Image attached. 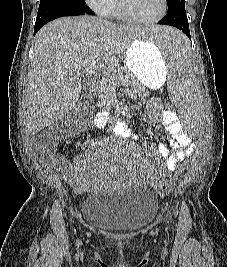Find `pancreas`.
Masks as SVG:
<instances>
[{"instance_id":"obj_1","label":"pancreas","mask_w":227,"mask_h":267,"mask_svg":"<svg viewBox=\"0 0 227 267\" xmlns=\"http://www.w3.org/2000/svg\"><path fill=\"white\" fill-rule=\"evenodd\" d=\"M118 84H124L126 86H138L141 85L137 82L135 77L127 69H115L109 72L99 81L98 92V106L109 104L111 93Z\"/></svg>"}]
</instances>
